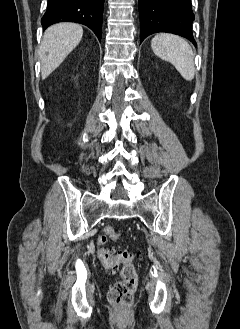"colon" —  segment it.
<instances>
[{"label":"colon","instance_id":"obj_1","mask_svg":"<svg viewBox=\"0 0 240 329\" xmlns=\"http://www.w3.org/2000/svg\"><path fill=\"white\" fill-rule=\"evenodd\" d=\"M119 234L111 226L103 229V234L98 239V256L106 269H120V279L116 281L108 291L109 301L122 308H128L134 301V294L137 289V273L132 265L135 254L130 251L113 252L106 247L109 239H116Z\"/></svg>","mask_w":240,"mask_h":329}]
</instances>
